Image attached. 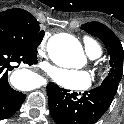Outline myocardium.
I'll return each instance as SVG.
<instances>
[{
	"mask_svg": "<svg viewBox=\"0 0 124 124\" xmlns=\"http://www.w3.org/2000/svg\"><path fill=\"white\" fill-rule=\"evenodd\" d=\"M97 73H98L99 77L104 78L107 74L106 68L103 66H98L97 67Z\"/></svg>",
	"mask_w": 124,
	"mask_h": 124,
	"instance_id": "f54148a6",
	"label": "myocardium"
}]
</instances>
